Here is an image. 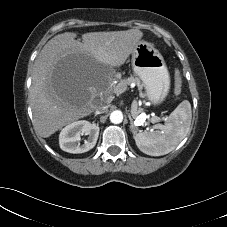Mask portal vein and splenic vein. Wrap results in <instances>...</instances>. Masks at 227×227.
<instances>
[{
	"label": "portal vein and splenic vein",
	"mask_w": 227,
	"mask_h": 227,
	"mask_svg": "<svg viewBox=\"0 0 227 227\" xmlns=\"http://www.w3.org/2000/svg\"><path fill=\"white\" fill-rule=\"evenodd\" d=\"M125 90L126 89L122 88V86L120 84H118L116 86V89H115V91L117 93H123ZM137 107H138L137 102L136 101H133L132 106H131V112L136 117L137 123H139L140 125H142L144 123L146 125H148L149 122H146V119L148 118L147 115L145 113H143V112L141 114H139L141 111L140 110H137ZM159 120H160V118L154 117V118L151 119V122L152 123H155V122H159ZM153 128L154 129H159V128H162V125L157 124V125H154Z\"/></svg>",
	"instance_id": "18ae733b"
}]
</instances>
